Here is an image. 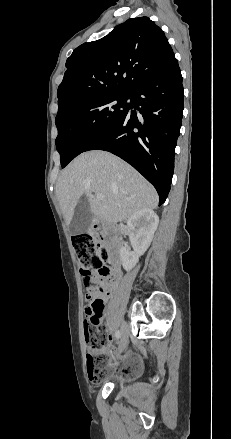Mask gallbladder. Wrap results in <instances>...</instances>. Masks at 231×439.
<instances>
[{"label":"gallbladder","mask_w":231,"mask_h":439,"mask_svg":"<svg viewBox=\"0 0 231 439\" xmlns=\"http://www.w3.org/2000/svg\"><path fill=\"white\" fill-rule=\"evenodd\" d=\"M92 212L87 196H82L75 209L69 230L72 234L85 232L91 224Z\"/></svg>","instance_id":"bac80fb5"}]
</instances>
